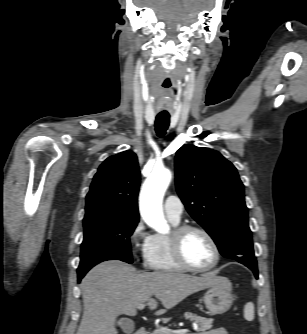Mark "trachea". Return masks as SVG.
Listing matches in <instances>:
<instances>
[{
    "label": "trachea",
    "mask_w": 307,
    "mask_h": 334,
    "mask_svg": "<svg viewBox=\"0 0 307 334\" xmlns=\"http://www.w3.org/2000/svg\"><path fill=\"white\" fill-rule=\"evenodd\" d=\"M169 123H170L169 115L159 114L156 116L155 130L159 137H164L166 130L168 129Z\"/></svg>",
    "instance_id": "3493384b"
}]
</instances>
